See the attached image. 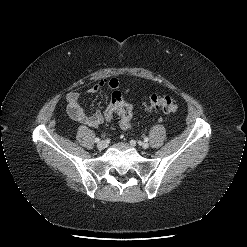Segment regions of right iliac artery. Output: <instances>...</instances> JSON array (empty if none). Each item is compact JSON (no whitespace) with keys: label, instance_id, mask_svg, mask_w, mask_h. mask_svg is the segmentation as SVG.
<instances>
[{"label":"right iliac artery","instance_id":"right-iliac-artery-1","mask_svg":"<svg viewBox=\"0 0 247 247\" xmlns=\"http://www.w3.org/2000/svg\"><path fill=\"white\" fill-rule=\"evenodd\" d=\"M94 140H95V142H99L100 141V139L98 137L95 138Z\"/></svg>","mask_w":247,"mask_h":247}]
</instances>
